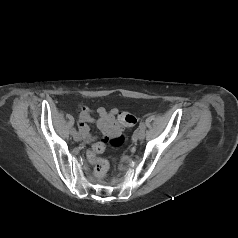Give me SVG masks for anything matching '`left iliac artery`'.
I'll return each mask as SVG.
<instances>
[{"label": "left iliac artery", "mask_w": 238, "mask_h": 238, "mask_svg": "<svg viewBox=\"0 0 238 238\" xmlns=\"http://www.w3.org/2000/svg\"><path fill=\"white\" fill-rule=\"evenodd\" d=\"M139 127L144 131L147 132L148 128L146 127V124L144 122H140Z\"/></svg>", "instance_id": "obj_1"}]
</instances>
